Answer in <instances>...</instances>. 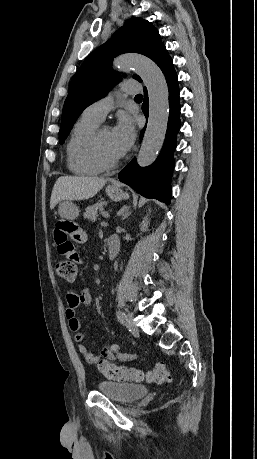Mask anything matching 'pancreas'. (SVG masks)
Returning <instances> with one entry per match:
<instances>
[{"instance_id": "cf45deb5", "label": "pancreas", "mask_w": 257, "mask_h": 459, "mask_svg": "<svg viewBox=\"0 0 257 459\" xmlns=\"http://www.w3.org/2000/svg\"><path fill=\"white\" fill-rule=\"evenodd\" d=\"M106 205H107L106 202L100 201V202H97L94 205L88 206L85 209V212L83 214L84 218L89 219V220L95 219L97 217V215H98V212H103L104 206H106Z\"/></svg>"}]
</instances>
